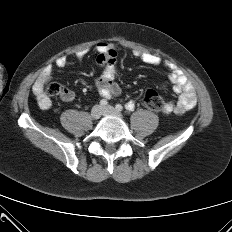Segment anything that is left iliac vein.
<instances>
[{
	"label": "left iliac vein",
	"mask_w": 232,
	"mask_h": 232,
	"mask_svg": "<svg viewBox=\"0 0 232 232\" xmlns=\"http://www.w3.org/2000/svg\"><path fill=\"white\" fill-rule=\"evenodd\" d=\"M103 115H112L116 117H121V113L117 111L115 108L112 106H106L103 108Z\"/></svg>",
	"instance_id": "1"
}]
</instances>
